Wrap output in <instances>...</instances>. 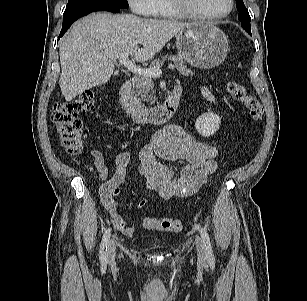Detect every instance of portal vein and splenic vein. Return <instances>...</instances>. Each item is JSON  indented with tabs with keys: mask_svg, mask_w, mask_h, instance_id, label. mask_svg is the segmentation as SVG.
Wrapping results in <instances>:
<instances>
[{
	"mask_svg": "<svg viewBox=\"0 0 307 301\" xmlns=\"http://www.w3.org/2000/svg\"><path fill=\"white\" fill-rule=\"evenodd\" d=\"M120 64H122L126 69L134 73L135 75H143L145 77H155L158 78L161 76L162 71L160 67H150V68H141L137 66L133 61L129 59V54H124L118 58ZM168 69H174L175 66L168 64Z\"/></svg>",
	"mask_w": 307,
	"mask_h": 301,
	"instance_id": "portal-vein-and-splenic-vein-1",
	"label": "portal vein and splenic vein"
}]
</instances>
